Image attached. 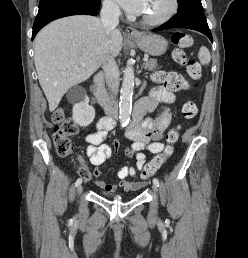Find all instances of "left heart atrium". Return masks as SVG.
Returning a JSON list of instances; mask_svg holds the SVG:
<instances>
[{
	"label": "left heart atrium",
	"instance_id": "obj_1",
	"mask_svg": "<svg viewBox=\"0 0 248 258\" xmlns=\"http://www.w3.org/2000/svg\"><path fill=\"white\" fill-rule=\"evenodd\" d=\"M130 14L138 15L144 11L146 0H118Z\"/></svg>",
	"mask_w": 248,
	"mask_h": 258
}]
</instances>
